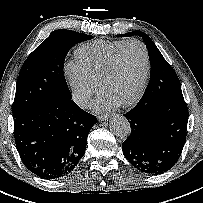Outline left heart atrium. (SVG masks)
I'll return each instance as SVG.
<instances>
[{
  "label": "left heart atrium",
  "instance_id": "1",
  "mask_svg": "<svg viewBox=\"0 0 203 203\" xmlns=\"http://www.w3.org/2000/svg\"><path fill=\"white\" fill-rule=\"evenodd\" d=\"M119 105V102L105 93H102L93 103L94 108L98 111H109Z\"/></svg>",
  "mask_w": 203,
  "mask_h": 203
}]
</instances>
